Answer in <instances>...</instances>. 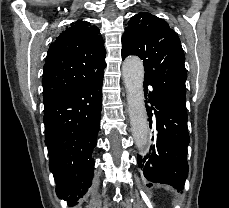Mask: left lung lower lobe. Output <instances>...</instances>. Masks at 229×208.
<instances>
[{
    "mask_svg": "<svg viewBox=\"0 0 229 208\" xmlns=\"http://www.w3.org/2000/svg\"><path fill=\"white\" fill-rule=\"evenodd\" d=\"M147 85L144 83L145 95ZM148 97V102L152 104L151 107L147 106L150 127L153 125L155 128L153 145L144 158L138 156V165L143 168L147 180L169 184L180 191L188 176L187 147L190 139L187 110L177 106L154 88ZM152 111L154 120L151 119Z\"/></svg>",
    "mask_w": 229,
    "mask_h": 208,
    "instance_id": "0a47b994",
    "label": "left lung lower lobe"
}]
</instances>
